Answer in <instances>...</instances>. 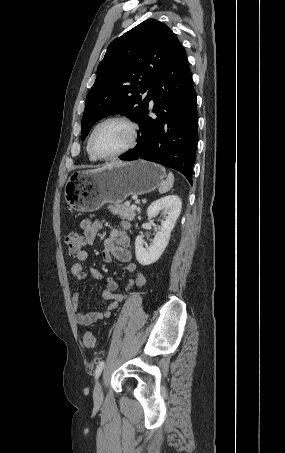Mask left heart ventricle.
Wrapping results in <instances>:
<instances>
[{"label": "left heart ventricle", "mask_w": 285, "mask_h": 453, "mask_svg": "<svg viewBox=\"0 0 285 453\" xmlns=\"http://www.w3.org/2000/svg\"><path fill=\"white\" fill-rule=\"evenodd\" d=\"M130 138V129L125 123L108 122L97 130L93 142L94 148L100 155H110L127 146Z\"/></svg>", "instance_id": "obj_1"}]
</instances>
